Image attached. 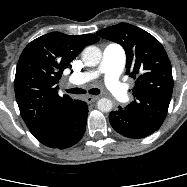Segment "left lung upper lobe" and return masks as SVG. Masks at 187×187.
Here are the masks:
<instances>
[{
    "instance_id": "1",
    "label": "left lung upper lobe",
    "mask_w": 187,
    "mask_h": 187,
    "mask_svg": "<svg viewBox=\"0 0 187 187\" xmlns=\"http://www.w3.org/2000/svg\"><path fill=\"white\" fill-rule=\"evenodd\" d=\"M97 35L122 45L126 52L127 74L135 79V100L123 110L159 129L173 91L171 63L163 46L148 32L128 23L110 26Z\"/></svg>"
}]
</instances>
